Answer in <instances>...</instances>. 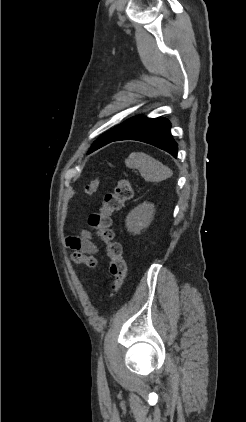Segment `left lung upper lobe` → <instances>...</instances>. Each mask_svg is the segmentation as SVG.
Here are the masks:
<instances>
[{
    "mask_svg": "<svg viewBox=\"0 0 246 422\" xmlns=\"http://www.w3.org/2000/svg\"><path fill=\"white\" fill-rule=\"evenodd\" d=\"M140 118H142V115H138L135 117H132L125 122L121 123L120 125L112 128L111 130L105 132L102 134L91 146L88 153H91L95 150H97L102 144L109 140H114L118 136H120L123 132H125L128 128H130L135 122H137Z\"/></svg>",
    "mask_w": 246,
    "mask_h": 422,
    "instance_id": "left-lung-upper-lobe-1",
    "label": "left lung upper lobe"
}]
</instances>
